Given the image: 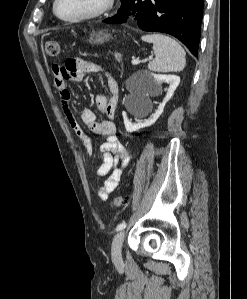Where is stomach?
Segmentation results:
<instances>
[{"label":"stomach","mask_w":247,"mask_h":299,"mask_svg":"<svg viewBox=\"0 0 247 299\" xmlns=\"http://www.w3.org/2000/svg\"><path fill=\"white\" fill-rule=\"evenodd\" d=\"M112 38V35L107 30L93 31L89 42L97 45H102Z\"/></svg>","instance_id":"1"}]
</instances>
